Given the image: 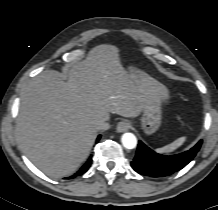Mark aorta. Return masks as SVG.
<instances>
[{"label": "aorta", "instance_id": "762f6f07", "mask_svg": "<svg viewBox=\"0 0 218 210\" xmlns=\"http://www.w3.org/2000/svg\"><path fill=\"white\" fill-rule=\"evenodd\" d=\"M121 141L126 149H133L137 145V138L133 133H124Z\"/></svg>", "mask_w": 218, "mask_h": 210}]
</instances>
